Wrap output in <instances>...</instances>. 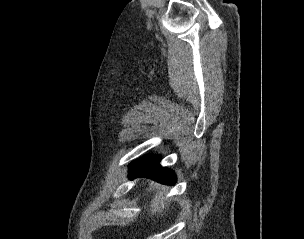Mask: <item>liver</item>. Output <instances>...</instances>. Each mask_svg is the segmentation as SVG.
<instances>
[{
    "label": "liver",
    "mask_w": 304,
    "mask_h": 239,
    "mask_svg": "<svg viewBox=\"0 0 304 239\" xmlns=\"http://www.w3.org/2000/svg\"><path fill=\"white\" fill-rule=\"evenodd\" d=\"M165 191V188L163 189V192L161 194H163ZM164 209H168V204L165 203V201H161L159 203H155L153 206H152V209H151V215L153 216L154 214H159L161 216H163V211Z\"/></svg>",
    "instance_id": "obj_1"
}]
</instances>
